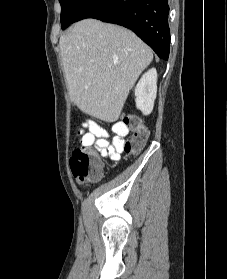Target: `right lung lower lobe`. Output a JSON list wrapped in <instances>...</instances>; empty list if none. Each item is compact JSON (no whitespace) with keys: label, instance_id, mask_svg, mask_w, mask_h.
<instances>
[{"label":"right lung lower lobe","instance_id":"98d812e1","mask_svg":"<svg viewBox=\"0 0 227 279\" xmlns=\"http://www.w3.org/2000/svg\"><path fill=\"white\" fill-rule=\"evenodd\" d=\"M168 0H85L72 23L94 18L131 29L167 60L170 47Z\"/></svg>","mask_w":227,"mask_h":279}]
</instances>
